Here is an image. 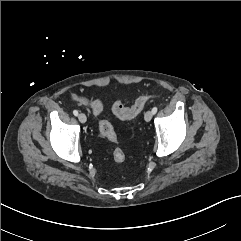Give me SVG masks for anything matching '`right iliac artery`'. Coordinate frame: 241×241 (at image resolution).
<instances>
[{"label": "right iliac artery", "mask_w": 241, "mask_h": 241, "mask_svg": "<svg viewBox=\"0 0 241 241\" xmlns=\"http://www.w3.org/2000/svg\"><path fill=\"white\" fill-rule=\"evenodd\" d=\"M73 114H74L75 116H78V111H77V110H74V111H73Z\"/></svg>", "instance_id": "obj_1"}]
</instances>
